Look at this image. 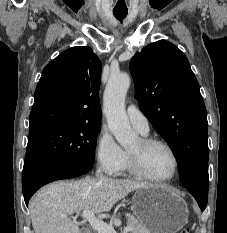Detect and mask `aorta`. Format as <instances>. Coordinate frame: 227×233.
<instances>
[{"mask_svg": "<svg viewBox=\"0 0 227 233\" xmlns=\"http://www.w3.org/2000/svg\"><path fill=\"white\" fill-rule=\"evenodd\" d=\"M129 86L130 77L127 73L112 74L104 93V113L108 127L123 147L129 146L137 138L125 111V97Z\"/></svg>", "mask_w": 227, "mask_h": 233, "instance_id": "1", "label": "aorta"}]
</instances>
